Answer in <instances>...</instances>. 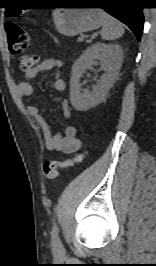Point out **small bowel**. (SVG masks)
Here are the masks:
<instances>
[{
	"instance_id": "1",
	"label": "small bowel",
	"mask_w": 156,
	"mask_h": 266,
	"mask_svg": "<svg viewBox=\"0 0 156 266\" xmlns=\"http://www.w3.org/2000/svg\"><path fill=\"white\" fill-rule=\"evenodd\" d=\"M61 65L62 61L59 58H48L36 67L27 70L24 80L17 85L18 95L22 98L32 96L34 88L29 80L36 77L41 71L57 70ZM53 86L54 89L59 92L63 91L66 87L65 81L58 73L54 77ZM27 112L40 125L47 150L57 151L63 154H72L80 149L81 141L76 137V130L73 126H67L63 132L53 133L37 106H28ZM61 112L66 121L71 119V108L68 101L65 99L61 101Z\"/></svg>"
}]
</instances>
